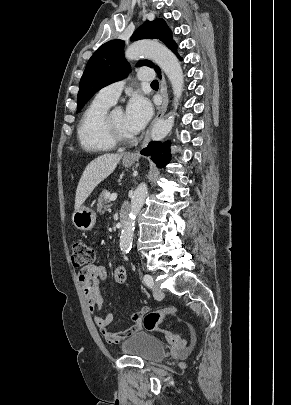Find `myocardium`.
I'll use <instances>...</instances> for the list:
<instances>
[{
    "mask_svg": "<svg viewBox=\"0 0 291 405\" xmlns=\"http://www.w3.org/2000/svg\"><path fill=\"white\" fill-rule=\"evenodd\" d=\"M112 113L107 114L105 118V129L106 133L111 140V142L116 145H129L135 141V137H127L120 133L112 123L111 120Z\"/></svg>",
    "mask_w": 291,
    "mask_h": 405,
    "instance_id": "f54148a6",
    "label": "myocardium"
}]
</instances>
